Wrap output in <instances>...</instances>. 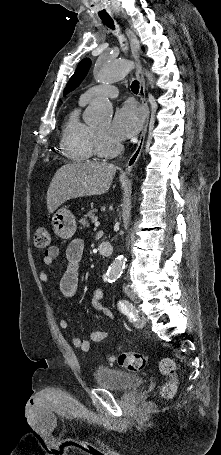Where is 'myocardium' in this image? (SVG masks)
Returning a JSON list of instances; mask_svg holds the SVG:
<instances>
[{"label":"myocardium","instance_id":"1","mask_svg":"<svg viewBox=\"0 0 221 455\" xmlns=\"http://www.w3.org/2000/svg\"><path fill=\"white\" fill-rule=\"evenodd\" d=\"M93 147L99 156L109 157L118 154L122 145L118 141H107L97 130L93 128Z\"/></svg>","mask_w":221,"mask_h":455}]
</instances>
